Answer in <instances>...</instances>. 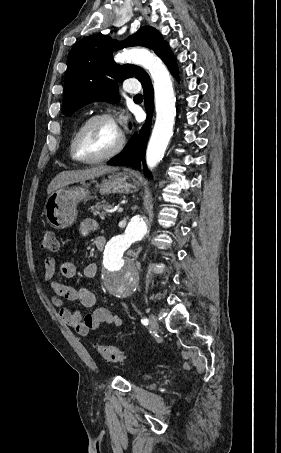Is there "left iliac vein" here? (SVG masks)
Wrapping results in <instances>:
<instances>
[{"mask_svg": "<svg viewBox=\"0 0 281 453\" xmlns=\"http://www.w3.org/2000/svg\"><path fill=\"white\" fill-rule=\"evenodd\" d=\"M150 330L155 331L157 328V322H156V317L153 316L152 314L150 315Z\"/></svg>", "mask_w": 281, "mask_h": 453, "instance_id": "1", "label": "left iliac vein"}]
</instances>
